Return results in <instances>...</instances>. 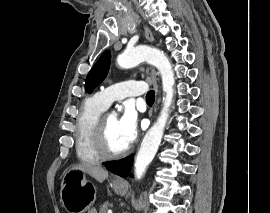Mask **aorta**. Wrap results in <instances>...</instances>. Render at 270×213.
I'll list each match as a JSON object with an SVG mask.
<instances>
[{"label":"aorta","mask_w":270,"mask_h":213,"mask_svg":"<svg viewBox=\"0 0 270 213\" xmlns=\"http://www.w3.org/2000/svg\"><path fill=\"white\" fill-rule=\"evenodd\" d=\"M144 61L154 65L158 69L161 75L165 97L163 98V108L160 116L145 134L135 159V176L138 179L145 173L161 143L164 128L169 116V109L173 100V86L175 84L172 65L164 53L158 49L138 46L125 50L117 57V63L122 68H131Z\"/></svg>","instance_id":"obj_1"}]
</instances>
